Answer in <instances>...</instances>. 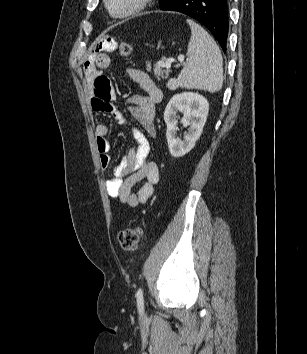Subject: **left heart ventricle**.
<instances>
[{
	"instance_id": "1",
	"label": "left heart ventricle",
	"mask_w": 307,
	"mask_h": 354,
	"mask_svg": "<svg viewBox=\"0 0 307 354\" xmlns=\"http://www.w3.org/2000/svg\"><path fill=\"white\" fill-rule=\"evenodd\" d=\"M134 0H111V7L114 12H122L126 10Z\"/></svg>"
}]
</instances>
